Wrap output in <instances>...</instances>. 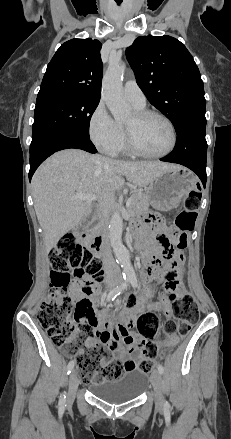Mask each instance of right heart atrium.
<instances>
[{"mask_svg": "<svg viewBox=\"0 0 231 439\" xmlns=\"http://www.w3.org/2000/svg\"><path fill=\"white\" fill-rule=\"evenodd\" d=\"M88 134L92 143L107 153L114 152L122 141L121 127L112 118L103 102H99L90 115Z\"/></svg>", "mask_w": 231, "mask_h": 439, "instance_id": "right-heart-atrium-1", "label": "right heart atrium"}]
</instances>
